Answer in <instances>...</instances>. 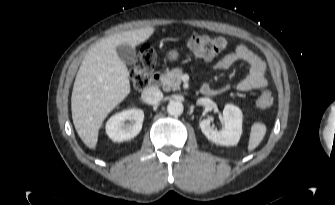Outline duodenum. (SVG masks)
I'll return each mask as SVG.
<instances>
[{
	"instance_id": "obj_1",
	"label": "duodenum",
	"mask_w": 335,
	"mask_h": 205,
	"mask_svg": "<svg viewBox=\"0 0 335 205\" xmlns=\"http://www.w3.org/2000/svg\"><path fill=\"white\" fill-rule=\"evenodd\" d=\"M161 81V73L160 72H154L150 77V84L151 86H158ZM200 93L206 96L214 95L216 94V91L213 90L211 87L204 85L200 89Z\"/></svg>"
}]
</instances>
